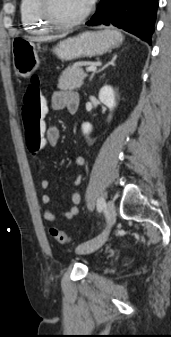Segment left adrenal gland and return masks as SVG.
<instances>
[{
    "label": "left adrenal gland",
    "mask_w": 171,
    "mask_h": 337,
    "mask_svg": "<svg viewBox=\"0 0 171 337\" xmlns=\"http://www.w3.org/2000/svg\"><path fill=\"white\" fill-rule=\"evenodd\" d=\"M115 60H116V55L113 57V59L110 62H108L106 65H104L101 69H99L98 71L94 72L91 75L90 80H92V78L94 77L95 73H99V72L103 71L105 68H107L108 66L114 65Z\"/></svg>",
    "instance_id": "obj_1"
}]
</instances>
